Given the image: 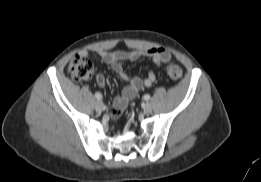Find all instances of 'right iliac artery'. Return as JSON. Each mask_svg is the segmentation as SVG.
Instances as JSON below:
<instances>
[{
    "mask_svg": "<svg viewBox=\"0 0 261 182\" xmlns=\"http://www.w3.org/2000/svg\"><path fill=\"white\" fill-rule=\"evenodd\" d=\"M95 98L98 99V100H101L102 95L99 92H97V93H95Z\"/></svg>",
    "mask_w": 261,
    "mask_h": 182,
    "instance_id": "obj_1",
    "label": "right iliac artery"
}]
</instances>
